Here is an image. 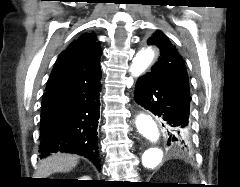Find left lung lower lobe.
<instances>
[{
  "instance_id": "obj_1",
  "label": "left lung lower lobe",
  "mask_w": 240,
  "mask_h": 187,
  "mask_svg": "<svg viewBox=\"0 0 240 187\" xmlns=\"http://www.w3.org/2000/svg\"><path fill=\"white\" fill-rule=\"evenodd\" d=\"M134 98L140 106L164 121L168 146L190 150L191 140L179 131L189 128V93L173 88L148 72L138 79Z\"/></svg>"
}]
</instances>
